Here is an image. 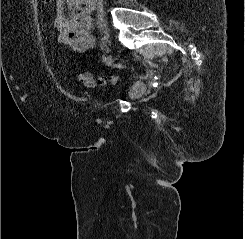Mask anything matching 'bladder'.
Masks as SVG:
<instances>
[{
  "mask_svg": "<svg viewBox=\"0 0 245 239\" xmlns=\"http://www.w3.org/2000/svg\"><path fill=\"white\" fill-rule=\"evenodd\" d=\"M146 89L147 87L140 83L130 86L127 91L128 100L134 103L137 102L143 97L144 93L146 92Z\"/></svg>",
  "mask_w": 245,
  "mask_h": 239,
  "instance_id": "obj_1",
  "label": "bladder"
}]
</instances>
